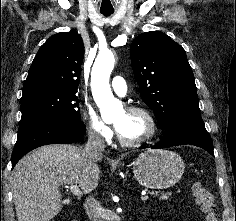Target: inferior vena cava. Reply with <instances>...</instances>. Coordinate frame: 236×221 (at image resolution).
Masks as SVG:
<instances>
[{
    "mask_svg": "<svg viewBox=\"0 0 236 221\" xmlns=\"http://www.w3.org/2000/svg\"><path fill=\"white\" fill-rule=\"evenodd\" d=\"M105 148V142L102 136L95 130L88 131V142L84 148V154L89 159L102 157ZM84 208L90 221H105L103 209L94 196H88L84 202Z\"/></svg>",
    "mask_w": 236,
    "mask_h": 221,
    "instance_id": "obj_1",
    "label": "inferior vena cava"
}]
</instances>
